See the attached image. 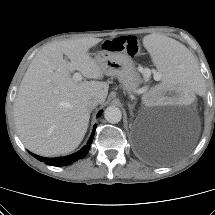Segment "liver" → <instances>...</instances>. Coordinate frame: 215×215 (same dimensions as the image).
<instances>
[{"label":"liver","instance_id":"6515ba94","mask_svg":"<svg viewBox=\"0 0 215 215\" xmlns=\"http://www.w3.org/2000/svg\"><path fill=\"white\" fill-rule=\"evenodd\" d=\"M100 38L56 41L38 51L29 65L14 103V120L25 147L41 156H59L75 150L88 128L87 102L108 95L103 71L89 54ZM66 55L70 62L63 59ZM79 71L91 81H76Z\"/></svg>","mask_w":215,"mask_h":215}]
</instances>
